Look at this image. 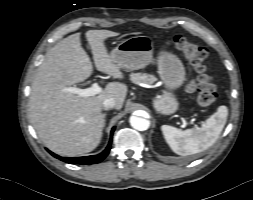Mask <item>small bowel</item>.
Instances as JSON below:
<instances>
[{
  "instance_id": "1",
  "label": "small bowel",
  "mask_w": 253,
  "mask_h": 200,
  "mask_svg": "<svg viewBox=\"0 0 253 200\" xmlns=\"http://www.w3.org/2000/svg\"><path fill=\"white\" fill-rule=\"evenodd\" d=\"M195 88V82L192 81L189 85H188V91H193Z\"/></svg>"
}]
</instances>
